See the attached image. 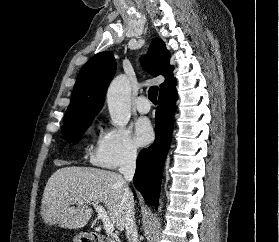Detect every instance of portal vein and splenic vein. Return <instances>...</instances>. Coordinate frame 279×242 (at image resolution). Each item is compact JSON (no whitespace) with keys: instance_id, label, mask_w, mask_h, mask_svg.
Instances as JSON below:
<instances>
[{"instance_id":"18ae733b","label":"portal vein and splenic vein","mask_w":279,"mask_h":242,"mask_svg":"<svg viewBox=\"0 0 279 242\" xmlns=\"http://www.w3.org/2000/svg\"><path fill=\"white\" fill-rule=\"evenodd\" d=\"M94 207L98 212V215L102 219L105 231L109 234L112 233L114 231V224L110 221L105 209L102 206L98 205V203L94 204Z\"/></svg>"}]
</instances>
